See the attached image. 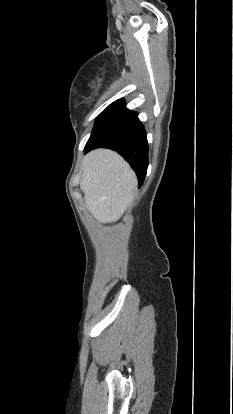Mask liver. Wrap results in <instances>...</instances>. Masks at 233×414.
I'll return each instance as SVG.
<instances>
[{
	"instance_id": "obj_1",
	"label": "liver",
	"mask_w": 233,
	"mask_h": 414,
	"mask_svg": "<svg viewBox=\"0 0 233 414\" xmlns=\"http://www.w3.org/2000/svg\"><path fill=\"white\" fill-rule=\"evenodd\" d=\"M136 186V174L116 152L96 149L84 157L80 187L87 210L98 222L119 220L129 206Z\"/></svg>"
}]
</instances>
